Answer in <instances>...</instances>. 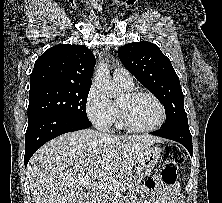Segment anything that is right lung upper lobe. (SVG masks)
Segmentation results:
<instances>
[{
    "label": "right lung upper lobe",
    "instance_id": "obj_1",
    "mask_svg": "<svg viewBox=\"0 0 222 203\" xmlns=\"http://www.w3.org/2000/svg\"><path fill=\"white\" fill-rule=\"evenodd\" d=\"M94 66L95 57L84 45H55L36 60L30 90L60 85L91 86Z\"/></svg>",
    "mask_w": 222,
    "mask_h": 203
}]
</instances>
